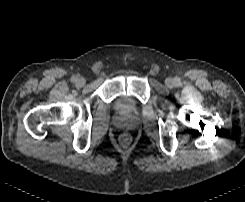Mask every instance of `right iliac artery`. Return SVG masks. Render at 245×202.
Here are the masks:
<instances>
[{
    "instance_id": "right-iliac-artery-1",
    "label": "right iliac artery",
    "mask_w": 245,
    "mask_h": 202,
    "mask_svg": "<svg viewBox=\"0 0 245 202\" xmlns=\"http://www.w3.org/2000/svg\"><path fill=\"white\" fill-rule=\"evenodd\" d=\"M77 79H78L77 76H72V77H71V81H72V82H76Z\"/></svg>"
}]
</instances>
